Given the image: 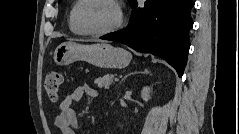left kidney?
I'll use <instances>...</instances> for the list:
<instances>
[{
  "instance_id": "left-kidney-1",
  "label": "left kidney",
  "mask_w": 239,
  "mask_h": 134,
  "mask_svg": "<svg viewBox=\"0 0 239 134\" xmlns=\"http://www.w3.org/2000/svg\"><path fill=\"white\" fill-rule=\"evenodd\" d=\"M150 93H151V90L148 86L146 87H143L142 91H141V98L147 102L149 99H150Z\"/></svg>"
}]
</instances>
